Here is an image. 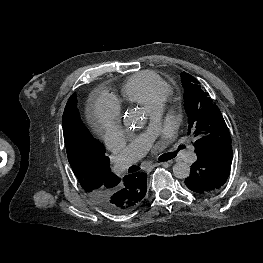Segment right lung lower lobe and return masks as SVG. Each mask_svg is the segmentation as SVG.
I'll return each instance as SVG.
<instances>
[{
	"instance_id": "98d812e1",
	"label": "right lung lower lobe",
	"mask_w": 263,
	"mask_h": 263,
	"mask_svg": "<svg viewBox=\"0 0 263 263\" xmlns=\"http://www.w3.org/2000/svg\"><path fill=\"white\" fill-rule=\"evenodd\" d=\"M146 173H135L125 176L123 179L116 178L108 184L109 189L104 192L91 193L90 197L103 209L110 212H118L128 201L130 184L147 187Z\"/></svg>"
}]
</instances>
